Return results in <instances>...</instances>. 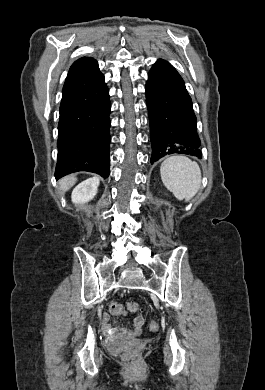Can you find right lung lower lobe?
Returning <instances> with one entry per match:
<instances>
[{"label":"right lung lower lobe","instance_id":"right-lung-lower-lobe-1","mask_svg":"<svg viewBox=\"0 0 265 390\" xmlns=\"http://www.w3.org/2000/svg\"><path fill=\"white\" fill-rule=\"evenodd\" d=\"M110 108L97 61L68 74L60 105L56 179L77 171L108 177Z\"/></svg>","mask_w":265,"mask_h":390}]
</instances>
